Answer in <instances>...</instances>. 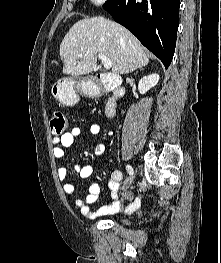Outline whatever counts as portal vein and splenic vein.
Instances as JSON below:
<instances>
[{"instance_id": "1", "label": "portal vein and splenic vein", "mask_w": 221, "mask_h": 263, "mask_svg": "<svg viewBox=\"0 0 221 263\" xmlns=\"http://www.w3.org/2000/svg\"><path fill=\"white\" fill-rule=\"evenodd\" d=\"M79 56H82V54H79ZM98 57L102 61L105 69H110L112 67V62L103 53H99Z\"/></svg>"}]
</instances>
